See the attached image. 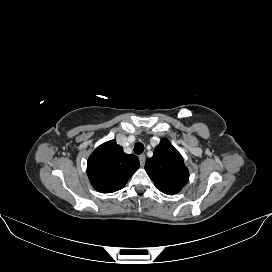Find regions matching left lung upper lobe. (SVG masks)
<instances>
[{"instance_id":"1","label":"left lung upper lobe","mask_w":272,"mask_h":272,"mask_svg":"<svg viewBox=\"0 0 272 272\" xmlns=\"http://www.w3.org/2000/svg\"><path fill=\"white\" fill-rule=\"evenodd\" d=\"M145 170L155 186L167 195L178 193L189 179L181 154L167 139H162L153 156L146 160Z\"/></svg>"}]
</instances>
